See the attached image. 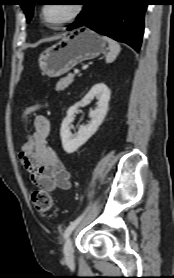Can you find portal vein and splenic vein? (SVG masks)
<instances>
[{
	"mask_svg": "<svg viewBox=\"0 0 174 278\" xmlns=\"http://www.w3.org/2000/svg\"><path fill=\"white\" fill-rule=\"evenodd\" d=\"M74 73H75V74L79 73V69H75V70H74Z\"/></svg>",
	"mask_w": 174,
	"mask_h": 278,
	"instance_id": "18ae733b",
	"label": "portal vein and splenic vein"
}]
</instances>
